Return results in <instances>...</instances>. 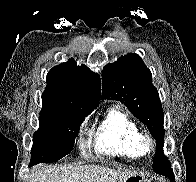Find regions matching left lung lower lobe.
<instances>
[{
	"label": "left lung lower lobe",
	"instance_id": "0a47b994",
	"mask_svg": "<svg viewBox=\"0 0 196 182\" xmlns=\"http://www.w3.org/2000/svg\"><path fill=\"white\" fill-rule=\"evenodd\" d=\"M162 160L163 161H168V159L166 157H163Z\"/></svg>",
	"mask_w": 196,
	"mask_h": 182
}]
</instances>
